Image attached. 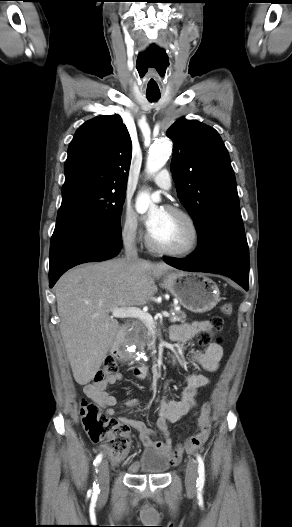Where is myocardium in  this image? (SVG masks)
Returning a JSON list of instances; mask_svg holds the SVG:
<instances>
[{
    "label": "myocardium",
    "instance_id": "obj_1",
    "mask_svg": "<svg viewBox=\"0 0 292 527\" xmlns=\"http://www.w3.org/2000/svg\"><path fill=\"white\" fill-rule=\"evenodd\" d=\"M164 210L169 213L180 216L187 222V224L190 227V231H191L190 240L184 247L169 248V247H165V246H162L156 243L152 239L150 232L148 231L145 237L147 246L151 250L157 253H161V254H165L169 256L185 257V256L191 255L198 248L200 239H201L200 228H199L197 221L189 212H187L186 210L182 208L175 207V206H166Z\"/></svg>",
    "mask_w": 292,
    "mask_h": 527
}]
</instances>
